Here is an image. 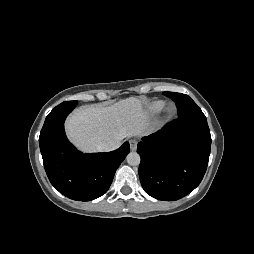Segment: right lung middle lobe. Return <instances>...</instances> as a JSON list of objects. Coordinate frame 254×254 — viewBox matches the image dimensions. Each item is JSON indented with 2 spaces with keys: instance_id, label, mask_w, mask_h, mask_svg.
<instances>
[{
  "instance_id": "1",
  "label": "right lung middle lobe",
  "mask_w": 254,
  "mask_h": 254,
  "mask_svg": "<svg viewBox=\"0 0 254 254\" xmlns=\"http://www.w3.org/2000/svg\"><path fill=\"white\" fill-rule=\"evenodd\" d=\"M68 102L69 103H76L77 104L78 101H68Z\"/></svg>"
}]
</instances>
